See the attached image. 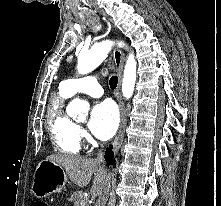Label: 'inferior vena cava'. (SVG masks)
<instances>
[{"mask_svg":"<svg viewBox=\"0 0 221 206\" xmlns=\"http://www.w3.org/2000/svg\"><path fill=\"white\" fill-rule=\"evenodd\" d=\"M103 152H99L96 158V161L98 163H102L104 161V156H103ZM110 178L108 176V178L105 181V185L103 187V191L101 193V195L99 196L95 206H105L106 202L108 200V194H109V190H110Z\"/></svg>","mask_w":221,"mask_h":206,"instance_id":"obj_1","label":"inferior vena cava"}]
</instances>
